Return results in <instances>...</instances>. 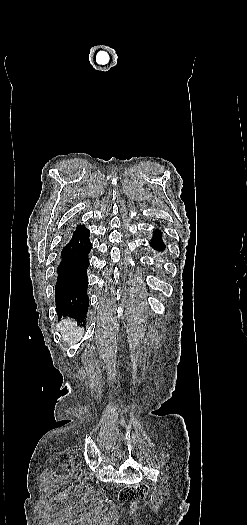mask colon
Returning a JSON list of instances; mask_svg holds the SVG:
<instances>
[{"instance_id":"1","label":"colon","mask_w":247,"mask_h":525,"mask_svg":"<svg viewBox=\"0 0 247 525\" xmlns=\"http://www.w3.org/2000/svg\"><path fill=\"white\" fill-rule=\"evenodd\" d=\"M150 487L146 483H140L139 485L135 487H124L119 492V499L124 502L129 501H139L146 497V495L149 493Z\"/></svg>"}]
</instances>
